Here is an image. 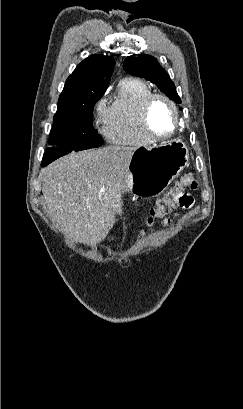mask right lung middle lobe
I'll return each mask as SVG.
<instances>
[{
    "instance_id": "right-lung-middle-lobe-1",
    "label": "right lung middle lobe",
    "mask_w": 243,
    "mask_h": 409,
    "mask_svg": "<svg viewBox=\"0 0 243 409\" xmlns=\"http://www.w3.org/2000/svg\"><path fill=\"white\" fill-rule=\"evenodd\" d=\"M95 103L58 105L46 153L80 151L103 144L93 127Z\"/></svg>"
}]
</instances>
